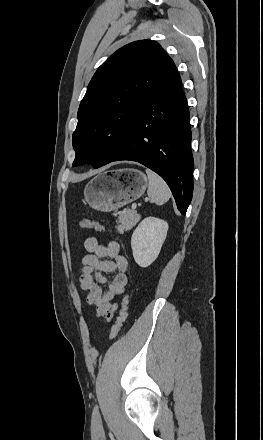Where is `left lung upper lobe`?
<instances>
[{
  "label": "left lung upper lobe",
  "mask_w": 263,
  "mask_h": 440,
  "mask_svg": "<svg viewBox=\"0 0 263 440\" xmlns=\"http://www.w3.org/2000/svg\"><path fill=\"white\" fill-rule=\"evenodd\" d=\"M172 65L156 41L140 40L117 50L98 68L79 106L73 166L99 168L118 155L138 113Z\"/></svg>",
  "instance_id": "left-lung-upper-lobe-1"
}]
</instances>
